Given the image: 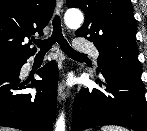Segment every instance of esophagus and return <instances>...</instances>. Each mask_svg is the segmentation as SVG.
I'll list each match as a JSON object with an SVG mask.
<instances>
[{"mask_svg":"<svg viewBox=\"0 0 147 131\" xmlns=\"http://www.w3.org/2000/svg\"><path fill=\"white\" fill-rule=\"evenodd\" d=\"M63 4H64V0H57L56 8H57L58 13L62 12ZM68 95L69 94H68V91H67L66 86H65V81L61 80L59 82V85H58V99L60 101H64V100H66Z\"/></svg>","mask_w":147,"mask_h":131,"instance_id":"obj_1","label":"esophagus"}]
</instances>
